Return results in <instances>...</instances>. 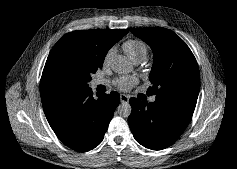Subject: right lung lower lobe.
Segmentation results:
<instances>
[{"label":"right lung lower lobe","instance_id":"right-lung-lower-lobe-1","mask_svg":"<svg viewBox=\"0 0 237 169\" xmlns=\"http://www.w3.org/2000/svg\"><path fill=\"white\" fill-rule=\"evenodd\" d=\"M119 102L115 91L95 99L86 86L51 97L42 105L57 137L69 148L86 152L103 140Z\"/></svg>","mask_w":237,"mask_h":169}]
</instances>
